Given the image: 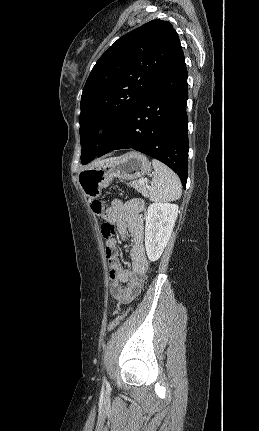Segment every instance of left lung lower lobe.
Wrapping results in <instances>:
<instances>
[{"label": "left lung lower lobe", "instance_id": "1", "mask_svg": "<svg viewBox=\"0 0 259 431\" xmlns=\"http://www.w3.org/2000/svg\"><path fill=\"white\" fill-rule=\"evenodd\" d=\"M187 76L181 49L114 135L100 146L97 156L112 150L132 148L169 166L178 174L185 188L188 159Z\"/></svg>", "mask_w": 259, "mask_h": 431}]
</instances>
